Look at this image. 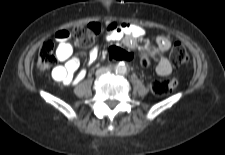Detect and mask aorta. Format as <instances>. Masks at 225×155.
Segmentation results:
<instances>
[{"instance_id":"1","label":"aorta","mask_w":225,"mask_h":155,"mask_svg":"<svg viewBox=\"0 0 225 155\" xmlns=\"http://www.w3.org/2000/svg\"><path fill=\"white\" fill-rule=\"evenodd\" d=\"M115 71L118 74H125L127 72V66L124 63H119L115 67Z\"/></svg>"}]
</instances>
